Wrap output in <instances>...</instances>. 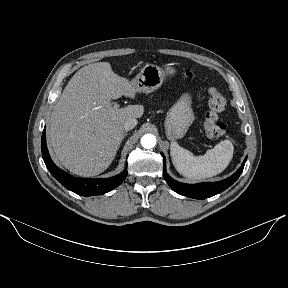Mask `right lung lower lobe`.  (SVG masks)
<instances>
[{"mask_svg": "<svg viewBox=\"0 0 288 288\" xmlns=\"http://www.w3.org/2000/svg\"><path fill=\"white\" fill-rule=\"evenodd\" d=\"M41 150L43 160L53 177H55L63 186H65V188L80 196H94L107 193L119 186L127 176L126 169L119 175L105 179L73 177L72 175L64 172L53 163L49 155L46 146L45 128L41 139Z\"/></svg>", "mask_w": 288, "mask_h": 288, "instance_id": "right-lung-lower-lobe-1", "label": "right lung lower lobe"}]
</instances>
